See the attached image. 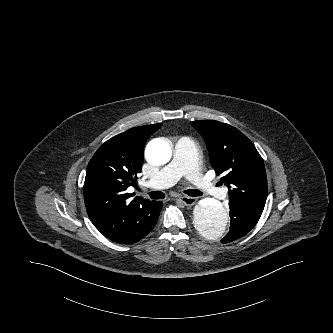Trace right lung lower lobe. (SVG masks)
Masks as SVG:
<instances>
[{
    "instance_id": "98d812e1",
    "label": "right lung lower lobe",
    "mask_w": 333,
    "mask_h": 333,
    "mask_svg": "<svg viewBox=\"0 0 333 333\" xmlns=\"http://www.w3.org/2000/svg\"><path fill=\"white\" fill-rule=\"evenodd\" d=\"M162 206L161 201L144 202L135 208L113 233L105 237L123 244H133L141 240L154 228Z\"/></svg>"
}]
</instances>
